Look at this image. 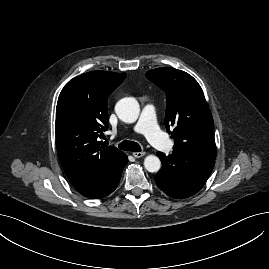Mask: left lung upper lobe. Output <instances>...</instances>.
Wrapping results in <instances>:
<instances>
[{
  "label": "left lung upper lobe",
  "mask_w": 269,
  "mask_h": 269,
  "mask_svg": "<svg viewBox=\"0 0 269 269\" xmlns=\"http://www.w3.org/2000/svg\"><path fill=\"white\" fill-rule=\"evenodd\" d=\"M146 77L166 93L165 126L175 141L174 149L215 159L213 118L198 82L171 67L150 70Z\"/></svg>",
  "instance_id": "1"
}]
</instances>
